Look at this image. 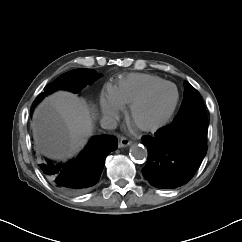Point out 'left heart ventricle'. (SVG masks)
I'll use <instances>...</instances> for the list:
<instances>
[{
  "mask_svg": "<svg viewBox=\"0 0 242 242\" xmlns=\"http://www.w3.org/2000/svg\"><path fill=\"white\" fill-rule=\"evenodd\" d=\"M175 97L176 92L172 86H166L160 89L137 109L134 117L135 122L144 126H152L160 123L171 109Z\"/></svg>",
  "mask_w": 242,
  "mask_h": 242,
  "instance_id": "left-heart-ventricle-1",
  "label": "left heart ventricle"
}]
</instances>
